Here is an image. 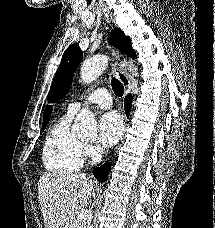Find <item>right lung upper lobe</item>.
<instances>
[{"instance_id": "right-lung-upper-lobe-1", "label": "right lung upper lobe", "mask_w": 215, "mask_h": 228, "mask_svg": "<svg viewBox=\"0 0 215 228\" xmlns=\"http://www.w3.org/2000/svg\"><path fill=\"white\" fill-rule=\"evenodd\" d=\"M51 112H52V108L47 107L43 116V124L48 123Z\"/></svg>"}]
</instances>
